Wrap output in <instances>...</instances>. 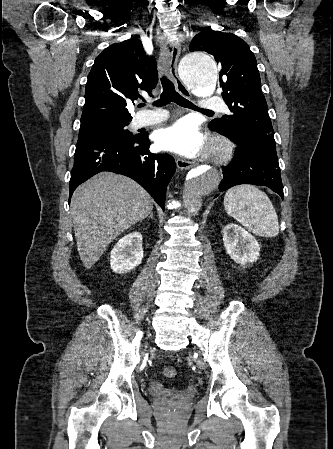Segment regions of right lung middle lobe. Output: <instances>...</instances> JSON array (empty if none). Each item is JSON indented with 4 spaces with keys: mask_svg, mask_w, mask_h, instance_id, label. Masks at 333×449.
I'll use <instances>...</instances> for the list:
<instances>
[{
    "mask_svg": "<svg viewBox=\"0 0 333 449\" xmlns=\"http://www.w3.org/2000/svg\"><path fill=\"white\" fill-rule=\"evenodd\" d=\"M130 121L110 122L97 124L85 128H80L78 140L87 138L99 137H114V138H136L139 135H133L126 129Z\"/></svg>",
    "mask_w": 333,
    "mask_h": 449,
    "instance_id": "obj_1",
    "label": "right lung middle lobe"
}]
</instances>
